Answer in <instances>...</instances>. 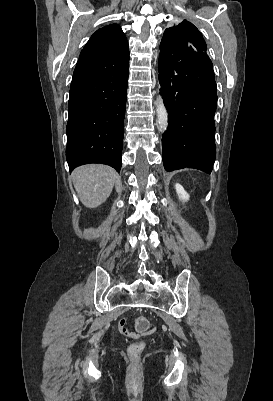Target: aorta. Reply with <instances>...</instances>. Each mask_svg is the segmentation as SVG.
<instances>
[{
    "label": "aorta",
    "instance_id": "obj_1",
    "mask_svg": "<svg viewBox=\"0 0 273 401\" xmlns=\"http://www.w3.org/2000/svg\"><path fill=\"white\" fill-rule=\"evenodd\" d=\"M157 122L161 131H167L168 129V112L164 105L163 99L157 105Z\"/></svg>",
    "mask_w": 273,
    "mask_h": 401
}]
</instances>
